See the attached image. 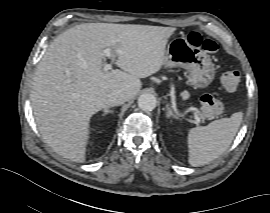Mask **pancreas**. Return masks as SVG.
I'll use <instances>...</instances> for the list:
<instances>
[{
  "mask_svg": "<svg viewBox=\"0 0 270 213\" xmlns=\"http://www.w3.org/2000/svg\"><path fill=\"white\" fill-rule=\"evenodd\" d=\"M188 93L187 92H184V93H182V96L184 97V96H186Z\"/></svg>",
  "mask_w": 270,
  "mask_h": 213,
  "instance_id": "obj_1",
  "label": "pancreas"
}]
</instances>
